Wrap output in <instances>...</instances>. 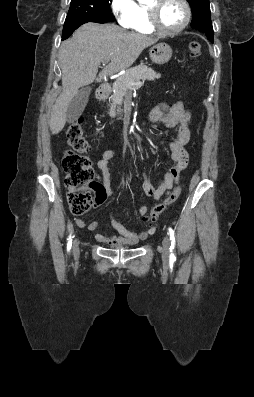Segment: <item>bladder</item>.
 <instances>
[{
  "label": "bladder",
  "instance_id": "bladder-1",
  "mask_svg": "<svg viewBox=\"0 0 254 397\" xmlns=\"http://www.w3.org/2000/svg\"><path fill=\"white\" fill-rule=\"evenodd\" d=\"M117 248H124V249H127L128 247L118 246Z\"/></svg>",
  "mask_w": 254,
  "mask_h": 397
}]
</instances>
